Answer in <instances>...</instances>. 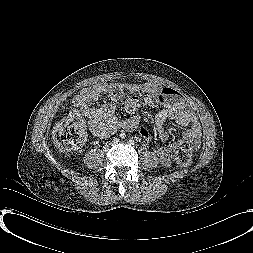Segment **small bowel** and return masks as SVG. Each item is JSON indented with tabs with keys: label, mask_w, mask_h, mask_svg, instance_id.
<instances>
[{
	"label": "small bowel",
	"mask_w": 253,
	"mask_h": 253,
	"mask_svg": "<svg viewBox=\"0 0 253 253\" xmlns=\"http://www.w3.org/2000/svg\"><path fill=\"white\" fill-rule=\"evenodd\" d=\"M141 87L151 93L150 103L155 110L154 122L158 133L159 145L156 154L159 161L168 166L170 158L179 148L186 147L194 151L199 147L201 125L198 121L195 109L175 90L162 87L155 83H142ZM104 91L102 84H96L83 89L71 99L72 112L77 118L84 119L89 130L99 138H107L117 130L123 128L134 130L137 128V111L139 106L132 102L124 103L127 117H121L115 112L112 104L95 106L96 101ZM167 121H173L182 127H188L179 140L166 144L169 134L165 128ZM139 133L142 138L150 139V130L141 127Z\"/></svg>",
	"instance_id": "small-bowel-1"
}]
</instances>
